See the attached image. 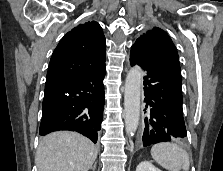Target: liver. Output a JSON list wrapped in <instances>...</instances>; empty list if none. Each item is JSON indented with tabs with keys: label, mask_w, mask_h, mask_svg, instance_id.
Instances as JSON below:
<instances>
[{
	"label": "liver",
	"mask_w": 223,
	"mask_h": 171,
	"mask_svg": "<svg viewBox=\"0 0 223 171\" xmlns=\"http://www.w3.org/2000/svg\"><path fill=\"white\" fill-rule=\"evenodd\" d=\"M97 153L95 145L81 134L57 131L40 140L35 163L38 171H88Z\"/></svg>",
	"instance_id": "liver-1"
}]
</instances>
